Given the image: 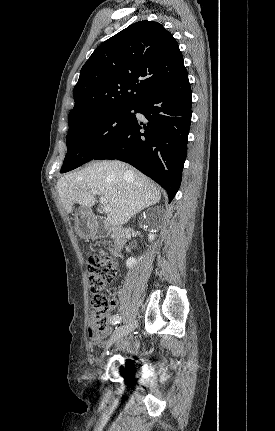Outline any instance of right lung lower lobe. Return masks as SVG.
Wrapping results in <instances>:
<instances>
[{
    "label": "right lung lower lobe",
    "mask_w": 275,
    "mask_h": 431,
    "mask_svg": "<svg viewBox=\"0 0 275 431\" xmlns=\"http://www.w3.org/2000/svg\"><path fill=\"white\" fill-rule=\"evenodd\" d=\"M191 88L187 70L169 85L136 105L137 118L94 159H118L131 164L159 183L171 201L177 193L187 155L191 123Z\"/></svg>",
    "instance_id": "1"
}]
</instances>
